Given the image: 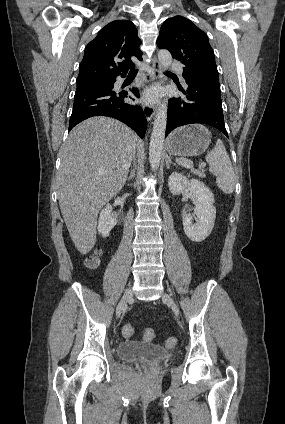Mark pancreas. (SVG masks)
I'll return each mask as SVG.
<instances>
[{
    "instance_id": "cf45deb5",
    "label": "pancreas",
    "mask_w": 285,
    "mask_h": 424,
    "mask_svg": "<svg viewBox=\"0 0 285 424\" xmlns=\"http://www.w3.org/2000/svg\"><path fill=\"white\" fill-rule=\"evenodd\" d=\"M191 171H192V173L198 175L199 177H202V178L205 177V174L201 171H198V170H195V169H192Z\"/></svg>"
}]
</instances>
